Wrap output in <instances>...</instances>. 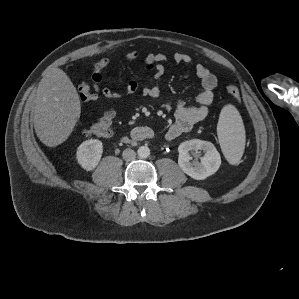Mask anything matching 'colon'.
I'll list each match as a JSON object with an SVG mask.
<instances>
[{
    "mask_svg": "<svg viewBox=\"0 0 299 299\" xmlns=\"http://www.w3.org/2000/svg\"><path fill=\"white\" fill-rule=\"evenodd\" d=\"M80 96L85 101L96 100V95L92 92L90 86L82 82L78 87ZM228 94L235 100L239 101L240 93L238 87L234 83L227 85ZM115 114L113 111H107L96 120L87 130L84 131L86 136L108 137L112 134L113 122Z\"/></svg>",
    "mask_w": 299,
    "mask_h": 299,
    "instance_id": "5ec220e1",
    "label": "colon"
}]
</instances>
